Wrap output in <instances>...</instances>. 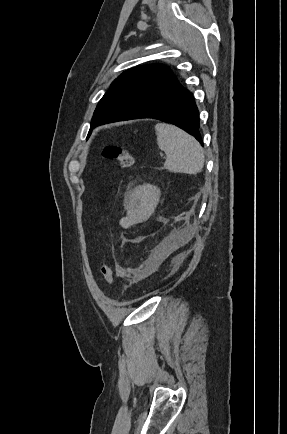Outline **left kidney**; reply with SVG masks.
Returning <instances> with one entry per match:
<instances>
[{"label":"left kidney","mask_w":287,"mask_h":434,"mask_svg":"<svg viewBox=\"0 0 287 434\" xmlns=\"http://www.w3.org/2000/svg\"><path fill=\"white\" fill-rule=\"evenodd\" d=\"M160 195L156 186L144 184L136 187L127 198L130 216H149L159 202Z\"/></svg>","instance_id":"5707ae66"}]
</instances>
